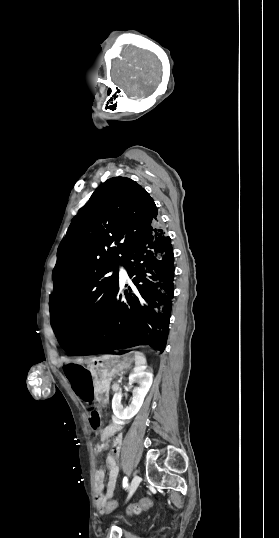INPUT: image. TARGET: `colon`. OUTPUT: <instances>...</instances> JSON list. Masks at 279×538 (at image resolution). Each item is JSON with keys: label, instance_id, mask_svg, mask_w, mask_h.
<instances>
[{"label": "colon", "instance_id": "colon-1", "mask_svg": "<svg viewBox=\"0 0 279 538\" xmlns=\"http://www.w3.org/2000/svg\"><path fill=\"white\" fill-rule=\"evenodd\" d=\"M152 505V500L149 498L142 499L141 501L134 503L129 506L128 513L129 514H139L142 511H145ZM118 504L116 502L110 501L104 506L100 507L99 509L102 512H112L115 509H117Z\"/></svg>", "mask_w": 279, "mask_h": 538}]
</instances>
